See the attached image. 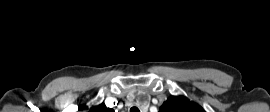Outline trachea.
I'll use <instances>...</instances> for the list:
<instances>
[{
	"label": "trachea",
	"mask_w": 270,
	"mask_h": 112,
	"mask_svg": "<svg viewBox=\"0 0 270 112\" xmlns=\"http://www.w3.org/2000/svg\"><path fill=\"white\" fill-rule=\"evenodd\" d=\"M130 112H140L139 109L137 107H132L130 109Z\"/></svg>",
	"instance_id": "3493384b"
}]
</instances>
